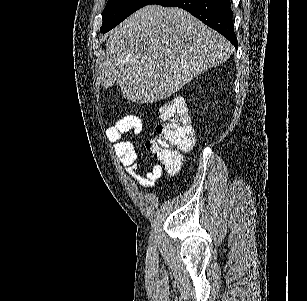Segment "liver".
I'll use <instances>...</instances> for the list:
<instances>
[{
	"label": "liver",
	"mask_w": 307,
	"mask_h": 301,
	"mask_svg": "<svg viewBox=\"0 0 307 301\" xmlns=\"http://www.w3.org/2000/svg\"><path fill=\"white\" fill-rule=\"evenodd\" d=\"M217 30L178 6L147 4L108 32L98 80L132 102H158L231 56Z\"/></svg>",
	"instance_id": "1"
}]
</instances>
